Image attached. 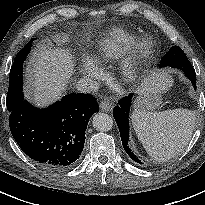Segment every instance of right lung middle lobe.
<instances>
[{
  "instance_id": "dd1d6c3e",
  "label": "right lung middle lobe",
  "mask_w": 205,
  "mask_h": 205,
  "mask_svg": "<svg viewBox=\"0 0 205 205\" xmlns=\"http://www.w3.org/2000/svg\"><path fill=\"white\" fill-rule=\"evenodd\" d=\"M35 38L31 39L27 45L17 53L15 57L14 63L10 70L9 75V88L6 98L7 109L8 111H13L19 104L24 100L23 92H22V66L23 62L26 58V55L31 49V43Z\"/></svg>"
}]
</instances>
